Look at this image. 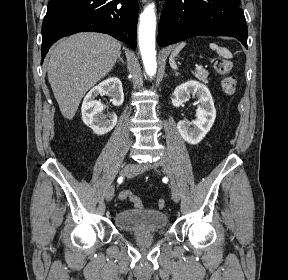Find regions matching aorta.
Instances as JSON below:
<instances>
[{
	"mask_svg": "<svg viewBox=\"0 0 288 280\" xmlns=\"http://www.w3.org/2000/svg\"><path fill=\"white\" fill-rule=\"evenodd\" d=\"M156 14L155 5L149 4L140 17L138 39L140 52L147 75L154 76L157 70L155 50Z\"/></svg>",
	"mask_w": 288,
	"mask_h": 280,
	"instance_id": "aorta-1",
	"label": "aorta"
}]
</instances>
